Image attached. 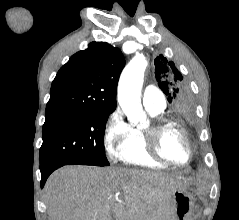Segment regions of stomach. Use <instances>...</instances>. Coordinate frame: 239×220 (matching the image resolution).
<instances>
[{"instance_id": "obj_1", "label": "stomach", "mask_w": 239, "mask_h": 220, "mask_svg": "<svg viewBox=\"0 0 239 220\" xmlns=\"http://www.w3.org/2000/svg\"><path fill=\"white\" fill-rule=\"evenodd\" d=\"M171 205L176 220H188L194 208V200L186 190H176L171 193Z\"/></svg>"}]
</instances>
